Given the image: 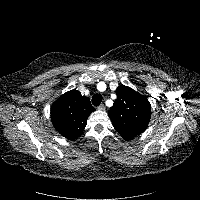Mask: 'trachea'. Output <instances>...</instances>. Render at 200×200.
I'll return each instance as SVG.
<instances>
[{"label":"trachea","mask_w":200,"mask_h":200,"mask_svg":"<svg viewBox=\"0 0 200 200\" xmlns=\"http://www.w3.org/2000/svg\"><path fill=\"white\" fill-rule=\"evenodd\" d=\"M102 95H100V94H95V95H93V97H92V104L94 105V106H99L100 105V103L102 102Z\"/></svg>","instance_id":"trachea-1"}]
</instances>
